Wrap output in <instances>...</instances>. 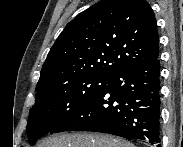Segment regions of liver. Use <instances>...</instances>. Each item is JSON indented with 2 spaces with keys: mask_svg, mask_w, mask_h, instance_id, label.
Segmentation results:
<instances>
[{
  "mask_svg": "<svg viewBox=\"0 0 183 147\" xmlns=\"http://www.w3.org/2000/svg\"><path fill=\"white\" fill-rule=\"evenodd\" d=\"M38 147H134V145L109 135L72 133L44 140Z\"/></svg>",
  "mask_w": 183,
  "mask_h": 147,
  "instance_id": "6515ba94",
  "label": "liver"
}]
</instances>
